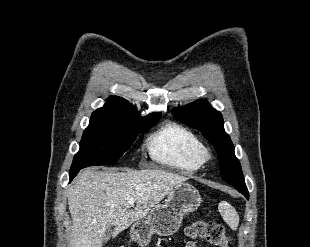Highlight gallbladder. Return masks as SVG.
I'll return each instance as SVG.
<instances>
[{
  "mask_svg": "<svg viewBox=\"0 0 310 247\" xmlns=\"http://www.w3.org/2000/svg\"><path fill=\"white\" fill-rule=\"evenodd\" d=\"M113 236L114 230L112 228H108L103 238V244L107 243V241Z\"/></svg>",
  "mask_w": 310,
  "mask_h": 247,
  "instance_id": "bac80fb5",
  "label": "gallbladder"
}]
</instances>
